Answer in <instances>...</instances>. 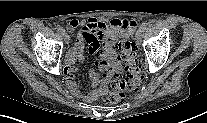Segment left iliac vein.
Returning a JSON list of instances; mask_svg holds the SVG:
<instances>
[{
	"instance_id": "left-iliac-vein-1",
	"label": "left iliac vein",
	"mask_w": 207,
	"mask_h": 123,
	"mask_svg": "<svg viewBox=\"0 0 207 123\" xmlns=\"http://www.w3.org/2000/svg\"><path fill=\"white\" fill-rule=\"evenodd\" d=\"M141 39H142V31L141 29L139 28L135 34V41L137 44H140L141 43Z\"/></svg>"
}]
</instances>
